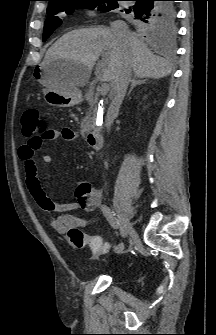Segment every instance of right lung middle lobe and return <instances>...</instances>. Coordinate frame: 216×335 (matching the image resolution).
Returning a JSON list of instances; mask_svg holds the SVG:
<instances>
[{
  "instance_id": "right-lung-middle-lobe-1",
  "label": "right lung middle lobe",
  "mask_w": 216,
  "mask_h": 335,
  "mask_svg": "<svg viewBox=\"0 0 216 335\" xmlns=\"http://www.w3.org/2000/svg\"><path fill=\"white\" fill-rule=\"evenodd\" d=\"M118 1L119 0H62L49 4L47 9L48 17L44 24L43 41H46L52 32L61 25L62 20L57 15L60 12L71 14L75 9L80 8H98L99 10L107 12L117 8L119 6ZM164 6L166 8H174L173 2H165ZM127 17L134 21V16L131 13H129ZM139 29L150 34L174 35L176 32V25L167 27L160 23H153Z\"/></svg>"
}]
</instances>
